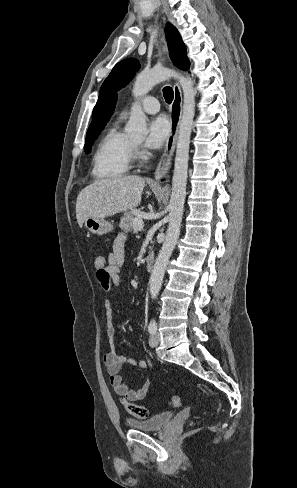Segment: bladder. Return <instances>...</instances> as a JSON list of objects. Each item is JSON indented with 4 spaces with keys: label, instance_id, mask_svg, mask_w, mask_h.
Segmentation results:
<instances>
[{
    "label": "bladder",
    "instance_id": "bladder-1",
    "mask_svg": "<svg viewBox=\"0 0 297 488\" xmlns=\"http://www.w3.org/2000/svg\"><path fill=\"white\" fill-rule=\"evenodd\" d=\"M173 416V412L165 411L145 420L129 418L126 420V425L131 429L154 432L165 428L171 422Z\"/></svg>",
    "mask_w": 297,
    "mask_h": 488
}]
</instances>
